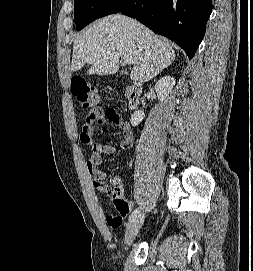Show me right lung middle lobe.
<instances>
[{"instance_id": "right-lung-middle-lobe-1", "label": "right lung middle lobe", "mask_w": 253, "mask_h": 271, "mask_svg": "<svg viewBox=\"0 0 253 271\" xmlns=\"http://www.w3.org/2000/svg\"><path fill=\"white\" fill-rule=\"evenodd\" d=\"M126 0H74V19L77 30L90 22L120 11Z\"/></svg>"}]
</instances>
